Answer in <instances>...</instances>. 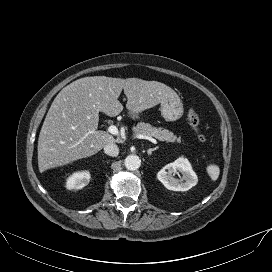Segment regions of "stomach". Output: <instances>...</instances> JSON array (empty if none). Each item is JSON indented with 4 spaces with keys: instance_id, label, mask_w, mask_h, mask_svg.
<instances>
[{
    "instance_id": "0dacf381",
    "label": "stomach",
    "mask_w": 272,
    "mask_h": 272,
    "mask_svg": "<svg viewBox=\"0 0 272 272\" xmlns=\"http://www.w3.org/2000/svg\"><path fill=\"white\" fill-rule=\"evenodd\" d=\"M160 110L163 118L170 122L180 119L184 113L183 104L179 99L161 103Z\"/></svg>"
}]
</instances>
